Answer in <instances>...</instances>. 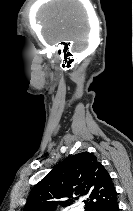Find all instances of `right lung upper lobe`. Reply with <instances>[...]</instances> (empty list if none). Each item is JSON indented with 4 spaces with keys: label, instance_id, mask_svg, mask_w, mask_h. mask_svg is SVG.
<instances>
[{
    "label": "right lung upper lobe",
    "instance_id": "right-lung-upper-lobe-1",
    "mask_svg": "<svg viewBox=\"0 0 133 211\" xmlns=\"http://www.w3.org/2000/svg\"><path fill=\"white\" fill-rule=\"evenodd\" d=\"M73 196L88 197L85 211L117 202L109 173L92 153L72 155L49 172L31 191L24 211H53L58 205L73 203Z\"/></svg>",
    "mask_w": 133,
    "mask_h": 211
}]
</instances>
